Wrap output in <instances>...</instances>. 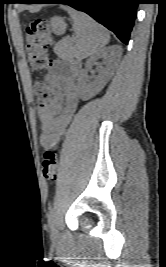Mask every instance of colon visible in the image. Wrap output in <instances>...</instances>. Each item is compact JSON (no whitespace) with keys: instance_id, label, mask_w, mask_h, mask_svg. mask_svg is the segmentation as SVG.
I'll return each mask as SVG.
<instances>
[{"instance_id":"1","label":"colon","mask_w":166,"mask_h":267,"mask_svg":"<svg viewBox=\"0 0 166 267\" xmlns=\"http://www.w3.org/2000/svg\"><path fill=\"white\" fill-rule=\"evenodd\" d=\"M25 48L32 70L41 72L50 66L51 58L48 49L52 43V35L48 21L44 19L32 20L25 32ZM33 91L40 106H46L55 99L53 87L44 80H37L33 84ZM58 156L55 149L45 152L42 163L43 177L48 181L57 178Z\"/></svg>"}]
</instances>
